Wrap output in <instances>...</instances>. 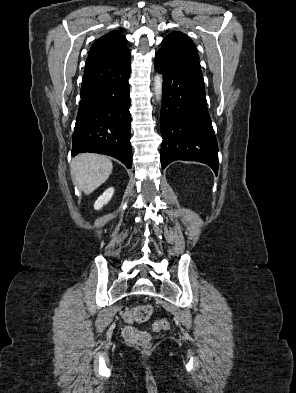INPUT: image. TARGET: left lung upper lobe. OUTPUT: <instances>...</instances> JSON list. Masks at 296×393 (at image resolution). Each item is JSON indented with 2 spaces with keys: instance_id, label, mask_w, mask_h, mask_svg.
Listing matches in <instances>:
<instances>
[{
  "instance_id": "1",
  "label": "left lung upper lobe",
  "mask_w": 296,
  "mask_h": 393,
  "mask_svg": "<svg viewBox=\"0 0 296 393\" xmlns=\"http://www.w3.org/2000/svg\"><path fill=\"white\" fill-rule=\"evenodd\" d=\"M157 54L167 60L178 63L199 65V56L192 40L181 32H172L162 41Z\"/></svg>"
}]
</instances>
